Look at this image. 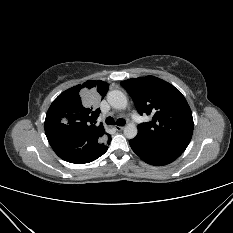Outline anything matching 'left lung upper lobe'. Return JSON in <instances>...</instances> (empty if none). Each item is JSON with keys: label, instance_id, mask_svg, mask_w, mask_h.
<instances>
[{"label": "left lung upper lobe", "instance_id": "1", "mask_svg": "<svg viewBox=\"0 0 233 233\" xmlns=\"http://www.w3.org/2000/svg\"><path fill=\"white\" fill-rule=\"evenodd\" d=\"M129 93L139 114H152L151 122L138 126L136 137L146 143L169 151L183 153L193 133L190 107L170 83L154 76L121 82Z\"/></svg>", "mask_w": 233, "mask_h": 233}]
</instances>
